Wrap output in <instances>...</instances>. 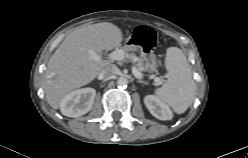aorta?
Here are the masks:
<instances>
[{
    "instance_id": "aorta-1",
    "label": "aorta",
    "mask_w": 248,
    "mask_h": 158,
    "mask_svg": "<svg viewBox=\"0 0 248 158\" xmlns=\"http://www.w3.org/2000/svg\"><path fill=\"white\" fill-rule=\"evenodd\" d=\"M127 83H128V80L125 77H120L117 80V84L119 86H125V85H127Z\"/></svg>"
}]
</instances>
